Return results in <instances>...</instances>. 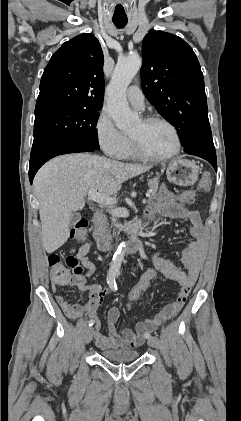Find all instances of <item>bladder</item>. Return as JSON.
<instances>
[{
    "mask_svg": "<svg viewBox=\"0 0 241 421\" xmlns=\"http://www.w3.org/2000/svg\"><path fill=\"white\" fill-rule=\"evenodd\" d=\"M100 355L104 359L114 363L132 362L139 357V353L137 351L124 349L103 350Z\"/></svg>",
    "mask_w": 241,
    "mask_h": 421,
    "instance_id": "bladder-1",
    "label": "bladder"
}]
</instances>
